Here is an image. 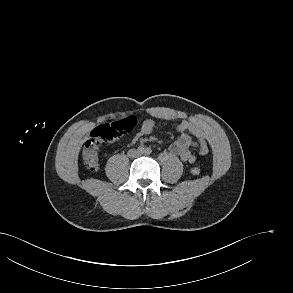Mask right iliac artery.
Listing matches in <instances>:
<instances>
[{
    "mask_svg": "<svg viewBox=\"0 0 293 293\" xmlns=\"http://www.w3.org/2000/svg\"><path fill=\"white\" fill-rule=\"evenodd\" d=\"M144 150H145L144 145H141V146L138 147L139 152H144Z\"/></svg>",
    "mask_w": 293,
    "mask_h": 293,
    "instance_id": "obj_1",
    "label": "right iliac artery"
}]
</instances>
